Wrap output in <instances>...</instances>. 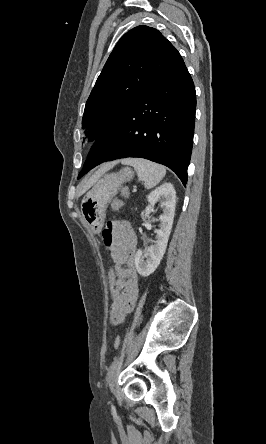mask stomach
<instances>
[{
  "label": "stomach",
  "instance_id": "1",
  "mask_svg": "<svg viewBox=\"0 0 266 444\" xmlns=\"http://www.w3.org/2000/svg\"><path fill=\"white\" fill-rule=\"evenodd\" d=\"M134 176L131 168L125 167L117 173L104 175L83 197L81 214L84 222L94 231L103 227L105 211L120 187Z\"/></svg>",
  "mask_w": 266,
  "mask_h": 444
}]
</instances>
